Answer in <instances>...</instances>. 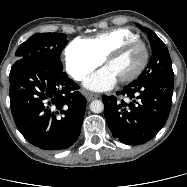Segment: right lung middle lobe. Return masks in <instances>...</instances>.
Listing matches in <instances>:
<instances>
[{
	"label": "right lung middle lobe",
	"instance_id": "obj_1",
	"mask_svg": "<svg viewBox=\"0 0 187 187\" xmlns=\"http://www.w3.org/2000/svg\"><path fill=\"white\" fill-rule=\"evenodd\" d=\"M66 42L67 36L62 33H37L22 43L15 55L17 60L30 58L62 67L60 55Z\"/></svg>",
	"mask_w": 187,
	"mask_h": 187
}]
</instances>
